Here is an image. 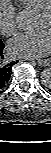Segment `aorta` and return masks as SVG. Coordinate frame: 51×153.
<instances>
[{
	"instance_id": "obj_1",
	"label": "aorta",
	"mask_w": 51,
	"mask_h": 153,
	"mask_svg": "<svg viewBox=\"0 0 51 153\" xmlns=\"http://www.w3.org/2000/svg\"><path fill=\"white\" fill-rule=\"evenodd\" d=\"M17 23L20 28L22 29H29L34 23V20L36 19V14L29 9L21 10L17 14ZM41 83L49 87L51 86V69L46 68L43 70L40 74Z\"/></svg>"
}]
</instances>
